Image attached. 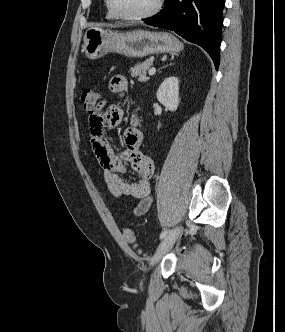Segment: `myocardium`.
Returning <instances> with one entry per match:
<instances>
[{"label":"myocardium","instance_id":"f54148a6","mask_svg":"<svg viewBox=\"0 0 285 332\" xmlns=\"http://www.w3.org/2000/svg\"><path fill=\"white\" fill-rule=\"evenodd\" d=\"M105 1H106L107 7H108L109 11L111 12V14L116 19L123 20V21H142V20L149 19L159 13V11L162 8L163 2H164V0H156L154 7L151 10H149L148 12L139 14V15L126 16V15H122L116 11V9L114 8V6L112 4V0H105Z\"/></svg>","mask_w":285,"mask_h":332}]
</instances>
